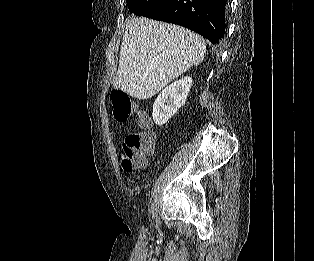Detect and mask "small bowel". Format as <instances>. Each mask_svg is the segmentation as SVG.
I'll return each mask as SVG.
<instances>
[{
    "instance_id": "1",
    "label": "small bowel",
    "mask_w": 314,
    "mask_h": 261,
    "mask_svg": "<svg viewBox=\"0 0 314 261\" xmlns=\"http://www.w3.org/2000/svg\"><path fill=\"white\" fill-rule=\"evenodd\" d=\"M149 125H150V121H149V124H148L147 127H149ZM146 166H147V157H146V155H145V156L143 157V159H142V164L139 166L138 169H144V168H146Z\"/></svg>"
}]
</instances>
